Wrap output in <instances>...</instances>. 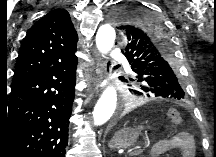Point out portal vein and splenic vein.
<instances>
[{"label":"portal vein and splenic vein","instance_id":"obj_1","mask_svg":"<svg viewBox=\"0 0 216 157\" xmlns=\"http://www.w3.org/2000/svg\"><path fill=\"white\" fill-rule=\"evenodd\" d=\"M141 151H142L141 147H140V146H137V147H135V148L129 150V153L131 154V153H133V152H141Z\"/></svg>","mask_w":216,"mask_h":157}]
</instances>
